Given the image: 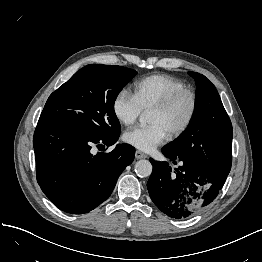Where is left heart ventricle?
<instances>
[{
    "label": "left heart ventricle",
    "mask_w": 262,
    "mask_h": 262,
    "mask_svg": "<svg viewBox=\"0 0 262 262\" xmlns=\"http://www.w3.org/2000/svg\"><path fill=\"white\" fill-rule=\"evenodd\" d=\"M188 111L189 101L184 97L165 111L149 110L148 122L159 123L169 134L185 120Z\"/></svg>",
    "instance_id": "left-heart-ventricle-1"
}]
</instances>
